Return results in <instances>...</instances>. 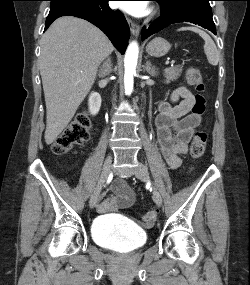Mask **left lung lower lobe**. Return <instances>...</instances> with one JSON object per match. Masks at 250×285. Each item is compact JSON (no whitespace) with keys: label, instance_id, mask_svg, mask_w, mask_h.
Instances as JSON below:
<instances>
[{"label":"left lung lower lobe","instance_id":"obj_1","mask_svg":"<svg viewBox=\"0 0 250 285\" xmlns=\"http://www.w3.org/2000/svg\"><path fill=\"white\" fill-rule=\"evenodd\" d=\"M190 22L210 30L216 35V28L212 18V11H207L200 8H187L173 14L162 12L161 17L153 22L148 28L142 30V40L148 38L171 24Z\"/></svg>","mask_w":250,"mask_h":285}]
</instances>
